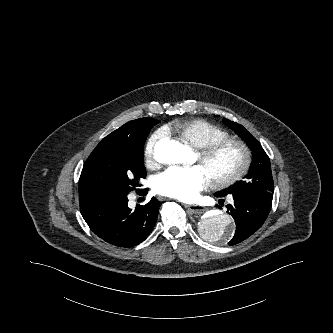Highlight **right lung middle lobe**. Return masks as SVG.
I'll return each mask as SVG.
<instances>
[{
  "label": "right lung middle lobe",
  "mask_w": 333,
  "mask_h": 333,
  "mask_svg": "<svg viewBox=\"0 0 333 333\" xmlns=\"http://www.w3.org/2000/svg\"><path fill=\"white\" fill-rule=\"evenodd\" d=\"M145 118L134 140L104 138L86 160L79 179V198L100 194H128L146 177L143 146L150 129L159 123Z\"/></svg>",
  "instance_id": "obj_1"
}]
</instances>
